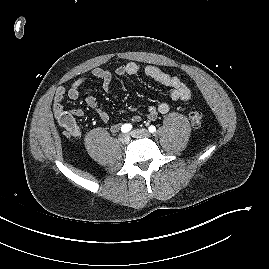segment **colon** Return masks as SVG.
Masks as SVG:
<instances>
[{"label":"colon","instance_id":"colon-1","mask_svg":"<svg viewBox=\"0 0 269 269\" xmlns=\"http://www.w3.org/2000/svg\"><path fill=\"white\" fill-rule=\"evenodd\" d=\"M189 119H190V122H191V125L194 129L198 130L201 128L202 126V123H203V116L200 112L196 111V110H192L190 112V115H189ZM64 121L66 123L69 122V118H65Z\"/></svg>","mask_w":269,"mask_h":269}]
</instances>
